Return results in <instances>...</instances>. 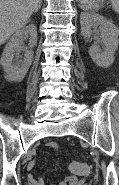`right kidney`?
I'll use <instances>...</instances> for the list:
<instances>
[{
  "label": "right kidney",
  "instance_id": "obj_1",
  "mask_svg": "<svg viewBox=\"0 0 119 185\" xmlns=\"http://www.w3.org/2000/svg\"><path fill=\"white\" fill-rule=\"evenodd\" d=\"M29 36V48L24 47V39ZM37 45V28L30 24L25 28L17 31L4 48L1 65L6 72L5 78L10 82H21L33 60L32 48ZM21 51H25L23 60L18 55Z\"/></svg>",
  "mask_w": 119,
  "mask_h": 185
}]
</instances>
